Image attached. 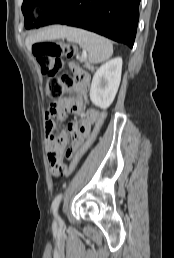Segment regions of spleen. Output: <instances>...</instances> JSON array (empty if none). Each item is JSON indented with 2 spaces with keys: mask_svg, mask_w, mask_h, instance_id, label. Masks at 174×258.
<instances>
[{
  "mask_svg": "<svg viewBox=\"0 0 174 258\" xmlns=\"http://www.w3.org/2000/svg\"><path fill=\"white\" fill-rule=\"evenodd\" d=\"M62 37L67 41L78 43L88 53L91 63H100L113 54V45L109 39L84 29L65 27Z\"/></svg>",
  "mask_w": 174,
  "mask_h": 258,
  "instance_id": "spleen-1",
  "label": "spleen"
}]
</instances>
